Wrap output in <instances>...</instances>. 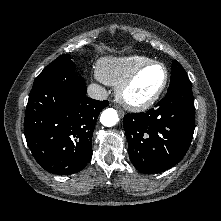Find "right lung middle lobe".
Wrapping results in <instances>:
<instances>
[{"instance_id": "obj_1", "label": "right lung middle lobe", "mask_w": 221, "mask_h": 221, "mask_svg": "<svg viewBox=\"0 0 221 221\" xmlns=\"http://www.w3.org/2000/svg\"><path fill=\"white\" fill-rule=\"evenodd\" d=\"M75 64L68 54L59 56L51 62L35 79L31 91H35L46 85L56 77L75 75Z\"/></svg>"}]
</instances>
